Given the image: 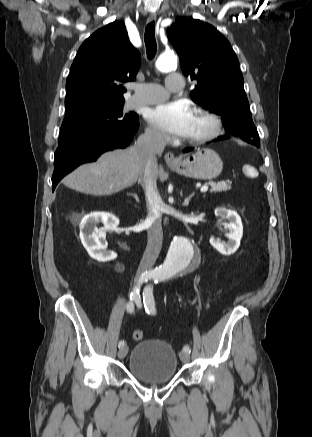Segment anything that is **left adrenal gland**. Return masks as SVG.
Wrapping results in <instances>:
<instances>
[{
  "label": "left adrenal gland",
  "instance_id": "obj_1",
  "mask_svg": "<svg viewBox=\"0 0 312 437\" xmlns=\"http://www.w3.org/2000/svg\"><path fill=\"white\" fill-rule=\"evenodd\" d=\"M194 196V194L192 193V194H190L185 200H184V203H183V206H188L189 205V202H190V200H191V198Z\"/></svg>",
  "mask_w": 312,
  "mask_h": 437
}]
</instances>
